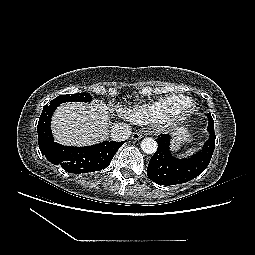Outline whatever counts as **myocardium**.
I'll return each mask as SVG.
<instances>
[{
	"label": "myocardium",
	"mask_w": 255,
	"mask_h": 255,
	"mask_svg": "<svg viewBox=\"0 0 255 255\" xmlns=\"http://www.w3.org/2000/svg\"><path fill=\"white\" fill-rule=\"evenodd\" d=\"M191 114V105L173 106L167 113L164 120L157 122H166L173 125L182 124L189 118Z\"/></svg>",
	"instance_id": "myocardium-1"
}]
</instances>
